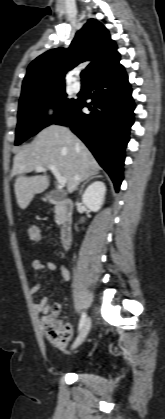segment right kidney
<instances>
[{
  "mask_svg": "<svg viewBox=\"0 0 165 419\" xmlns=\"http://www.w3.org/2000/svg\"><path fill=\"white\" fill-rule=\"evenodd\" d=\"M105 194V184L101 181H96L85 190L82 196V201L89 210L97 212L101 209L104 203Z\"/></svg>",
  "mask_w": 165,
  "mask_h": 419,
  "instance_id": "1",
  "label": "right kidney"
}]
</instances>
